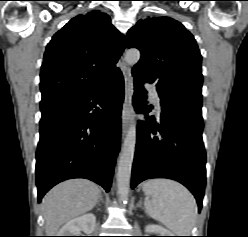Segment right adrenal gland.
Instances as JSON below:
<instances>
[{
	"mask_svg": "<svg viewBox=\"0 0 248 237\" xmlns=\"http://www.w3.org/2000/svg\"><path fill=\"white\" fill-rule=\"evenodd\" d=\"M100 202H103L102 195H100L99 200H98V202H97V205H98Z\"/></svg>",
	"mask_w": 248,
	"mask_h": 237,
	"instance_id": "1",
	"label": "right adrenal gland"
}]
</instances>
